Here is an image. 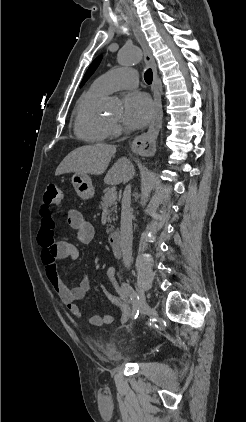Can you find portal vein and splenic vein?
<instances>
[{"instance_id": "obj_1", "label": "portal vein and splenic vein", "mask_w": 246, "mask_h": 422, "mask_svg": "<svg viewBox=\"0 0 246 422\" xmlns=\"http://www.w3.org/2000/svg\"><path fill=\"white\" fill-rule=\"evenodd\" d=\"M116 198H117V193L116 192H111L108 195L107 201L108 202H114L116 200Z\"/></svg>"}]
</instances>
